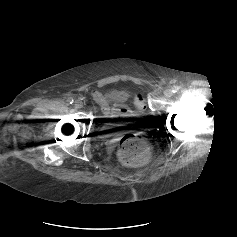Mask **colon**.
<instances>
[{
	"label": "colon",
	"instance_id": "colon-1",
	"mask_svg": "<svg viewBox=\"0 0 237 237\" xmlns=\"http://www.w3.org/2000/svg\"><path fill=\"white\" fill-rule=\"evenodd\" d=\"M149 154V145L140 134H127L122 138L119 148L122 162L130 165L142 164L148 160Z\"/></svg>",
	"mask_w": 237,
	"mask_h": 237
}]
</instances>
